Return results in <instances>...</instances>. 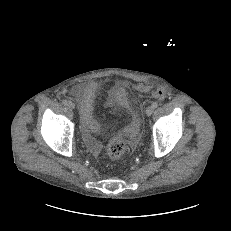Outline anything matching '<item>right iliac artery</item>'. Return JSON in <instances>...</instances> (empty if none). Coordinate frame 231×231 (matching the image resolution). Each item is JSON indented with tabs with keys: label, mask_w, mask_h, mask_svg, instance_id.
<instances>
[{
	"label": "right iliac artery",
	"mask_w": 231,
	"mask_h": 231,
	"mask_svg": "<svg viewBox=\"0 0 231 231\" xmlns=\"http://www.w3.org/2000/svg\"><path fill=\"white\" fill-rule=\"evenodd\" d=\"M67 102H68L67 100H63V101H62V103H63L64 105H67Z\"/></svg>",
	"instance_id": "1"
}]
</instances>
